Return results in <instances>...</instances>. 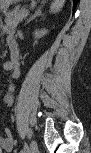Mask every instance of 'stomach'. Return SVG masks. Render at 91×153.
I'll use <instances>...</instances> for the list:
<instances>
[{
  "label": "stomach",
  "instance_id": "0dacf381",
  "mask_svg": "<svg viewBox=\"0 0 91 153\" xmlns=\"http://www.w3.org/2000/svg\"><path fill=\"white\" fill-rule=\"evenodd\" d=\"M10 3L9 0H0V9H5V7Z\"/></svg>",
  "mask_w": 91,
  "mask_h": 153
}]
</instances>
